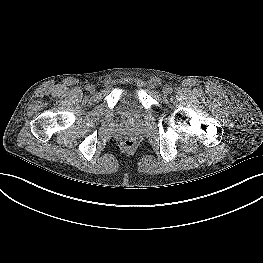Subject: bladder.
<instances>
[{
    "label": "bladder",
    "instance_id": "bladder-1",
    "mask_svg": "<svg viewBox=\"0 0 263 263\" xmlns=\"http://www.w3.org/2000/svg\"><path fill=\"white\" fill-rule=\"evenodd\" d=\"M118 112L126 119H138L140 118L142 111L138 102L128 97L120 102Z\"/></svg>",
    "mask_w": 263,
    "mask_h": 263
}]
</instances>
